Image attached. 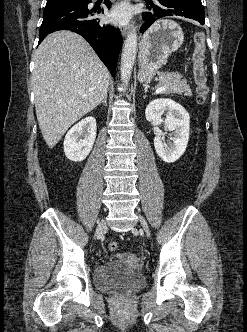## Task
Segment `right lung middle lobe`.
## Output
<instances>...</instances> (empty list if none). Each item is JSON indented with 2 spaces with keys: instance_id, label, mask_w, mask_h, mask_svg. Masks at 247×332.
Here are the masks:
<instances>
[{
  "instance_id": "1",
  "label": "right lung middle lobe",
  "mask_w": 247,
  "mask_h": 332,
  "mask_svg": "<svg viewBox=\"0 0 247 332\" xmlns=\"http://www.w3.org/2000/svg\"><path fill=\"white\" fill-rule=\"evenodd\" d=\"M58 1H61V0H58ZM53 2H56V1H53ZM47 3H52V2H47Z\"/></svg>"
}]
</instances>
